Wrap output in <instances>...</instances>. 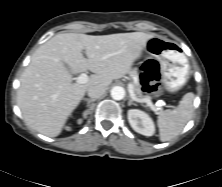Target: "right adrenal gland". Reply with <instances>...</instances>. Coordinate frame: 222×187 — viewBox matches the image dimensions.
I'll list each match as a JSON object with an SVG mask.
<instances>
[{"label": "right adrenal gland", "mask_w": 222, "mask_h": 187, "mask_svg": "<svg viewBox=\"0 0 222 187\" xmlns=\"http://www.w3.org/2000/svg\"><path fill=\"white\" fill-rule=\"evenodd\" d=\"M83 100L87 102V107H88V108H91V103L95 101V99H87V98H84ZM89 110H90V109H87V110L84 112V115L89 114Z\"/></svg>", "instance_id": "2a0ac1e0"}]
</instances>
